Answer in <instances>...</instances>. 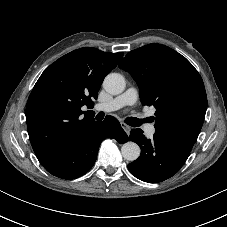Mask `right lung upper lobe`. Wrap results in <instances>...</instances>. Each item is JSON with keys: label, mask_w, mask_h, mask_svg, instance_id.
<instances>
[{"label": "right lung upper lobe", "mask_w": 227, "mask_h": 227, "mask_svg": "<svg viewBox=\"0 0 227 227\" xmlns=\"http://www.w3.org/2000/svg\"><path fill=\"white\" fill-rule=\"evenodd\" d=\"M122 56V52L83 47L59 58L42 73L26 106L29 139L42 166L95 122L81 107L93 105L105 76Z\"/></svg>", "instance_id": "cb5924a9"}]
</instances>
